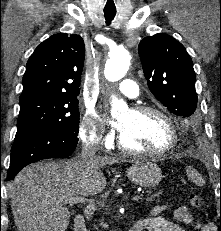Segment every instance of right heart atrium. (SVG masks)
<instances>
[{"label":"right heart atrium","mask_w":221,"mask_h":231,"mask_svg":"<svg viewBox=\"0 0 221 231\" xmlns=\"http://www.w3.org/2000/svg\"><path fill=\"white\" fill-rule=\"evenodd\" d=\"M99 123L100 118L96 111L93 108H88L80 123V139L93 146L108 144L112 139V134H104Z\"/></svg>","instance_id":"d8ad5b80"}]
</instances>
